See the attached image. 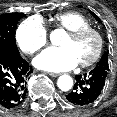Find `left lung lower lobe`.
Returning a JSON list of instances; mask_svg holds the SVG:
<instances>
[{
    "label": "left lung lower lobe",
    "instance_id": "obj_1",
    "mask_svg": "<svg viewBox=\"0 0 117 117\" xmlns=\"http://www.w3.org/2000/svg\"><path fill=\"white\" fill-rule=\"evenodd\" d=\"M108 78V70L94 68L89 73L75 76L73 90L66 95L68 102L77 106L92 104L100 96Z\"/></svg>",
    "mask_w": 117,
    "mask_h": 117
}]
</instances>
